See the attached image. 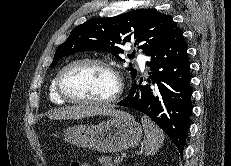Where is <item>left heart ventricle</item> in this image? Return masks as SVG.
I'll return each mask as SVG.
<instances>
[{
	"mask_svg": "<svg viewBox=\"0 0 231 166\" xmlns=\"http://www.w3.org/2000/svg\"><path fill=\"white\" fill-rule=\"evenodd\" d=\"M62 86L72 97L96 100L110 97L116 83L113 75L104 67L80 64L64 73Z\"/></svg>",
	"mask_w": 231,
	"mask_h": 166,
	"instance_id": "left-heart-ventricle-1",
	"label": "left heart ventricle"
}]
</instances>
